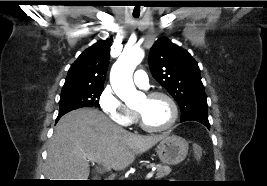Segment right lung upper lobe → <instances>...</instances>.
<instances>
[{
	"label": "right lung upper lobe",
	"mask_w": 267,
	"mask_h": 186,
	"mask_svg": "<svg viewBox=\"0 0 267 186\" xmlns=\"http://www.w3.org/2000/svg\"><path fill=\"white\" fill-rule=\"evenodd\" d=\"M111 41L92 45L71 65L64 87H103L109 63Z\"/></svg>",
	"instance_id": "cb5924a9"
}]
</instances>
